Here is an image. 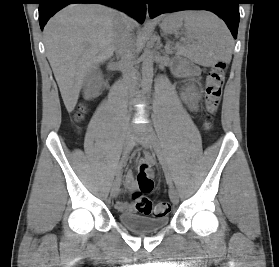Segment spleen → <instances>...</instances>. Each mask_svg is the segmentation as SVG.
Instances as JSON below:
<instances>
[{"label":"spleen","mask_w":279,"mask_h":267,"mask_svg":"<svg viewBox=\"0 0 279 267\" xmlns=\"http://www.w3.org/2000/svg\"><path fill=\"white\" fill-rule=\"evenodd\" d=\"M175 15L184 20L185 34L191 41L177 45L179 54L202 66L231 61L233 40L219 17L207 11H182Z\"/></svg>","instance_id":"obj_1"}]
</instances>
